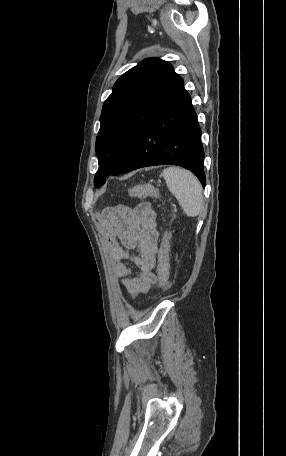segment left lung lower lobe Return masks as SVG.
Listing matches in <instances>:
<instances>
[{
    "label": "left lung lower lobe",
    "mask_w": 286,
    "mask_h": 456,
    "mask_svg": "<svg viewBox=\"0 0 286 456\" xmlns=\"http://www.w3.org/2000/svg\"><path fill=\"white\" fill-rule=\"evenodd\" d=\"M203 161L201 129L191 97L182 86L140 132L114 175L141 167L172 164L192 171L204 187Z\"/></svg>",
    "instance_id": "1"
}]
</instances>
